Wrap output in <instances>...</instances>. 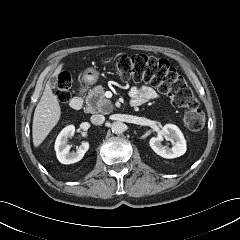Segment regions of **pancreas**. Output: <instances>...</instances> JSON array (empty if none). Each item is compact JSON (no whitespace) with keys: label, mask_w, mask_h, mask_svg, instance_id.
Wrapping results in <instances>:
<instances>
[{"label":"pancreas","mask_w":240,"mask_h":240,"mask_svg":"<svg viewBox=\"0 0 240 240\" xmlns=\"http://www.w3.org/2000/svg\"><path fill=\"white\" fill-rule=\"evenodd\" d=\"M105 91L103 86L98 85L89 90L88 95L85 98L86 109L88 113H109L113 109V105L109 99L104 95Z\"/></svg>","instance_id":"cf45deb5"}]
</instances>
